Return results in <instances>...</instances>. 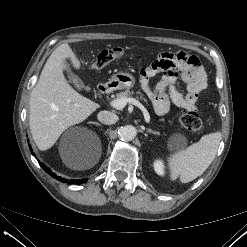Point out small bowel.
Here are the masks:
<instances>
[{
	"label": "small bowel",
	"mask_w": 247,
	"mask_h": 247,
	"mask_svg": "<svg viewBox=\"0 0 247 247\" xmlns=\"http://www.w3.org/2000/svg\"><path fill=\"white\" fill-rule=\"evenodd\" d=\"M158 73H162L161 78L151 86L149 80ZM178 80L186 84L187 93L177 89L175 84ZM140 82L158 115L167 114L171 104L185 110H196L198 97L207 87L206 73L199 59L185 52L159 54L141 70Z\"/></svg>",
	"instance_id": "c3829d8e"
}]
</instances>
